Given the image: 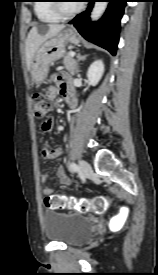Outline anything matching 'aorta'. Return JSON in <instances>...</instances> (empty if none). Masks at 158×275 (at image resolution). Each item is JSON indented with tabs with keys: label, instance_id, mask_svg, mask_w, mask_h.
Returning a JSON list of instances; mask_svg holds the SVG:
<instances>
[{
	"label": "aorta",
	"instance_id": "aorta-1",
	"mask_svg": "<svg viewBox=\"0 0 158 275\" xmlns=\"http://www.w3.org/2000/svg\"><path fill=\"white\" fill-rule=\"evenodd\" d=\"M107 8V2H96L91 12V20L96 21L98 20L102 14L104 13L105 9Z\"/></svg>",
	"mask_w": 158,
	"mask_h": 275
}]
</instances>
